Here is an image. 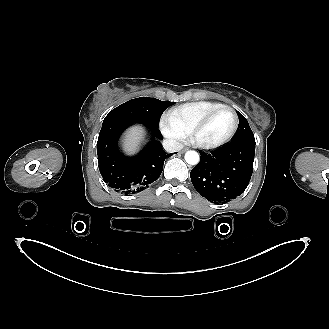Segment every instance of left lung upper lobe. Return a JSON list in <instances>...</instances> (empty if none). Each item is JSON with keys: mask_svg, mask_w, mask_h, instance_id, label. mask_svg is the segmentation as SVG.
<instances>
[{"mask_svg": "<svg viewBox=\"0 0 329 329\" xmlns=\"http://www.w3.org/2000/svg\"><path fill=\"white\" fill-rule=\"evenodd\" d=\"M237 114L239 117V125L237 132L231 142L244 141V140L255 142L254 134L248 124V121L239 112H237Z\"/></svg>", "mask_w": 329, "mask_h": 329, "instance_id": "obj_1", "label": "left lung upper lobe"}]
</instances>
